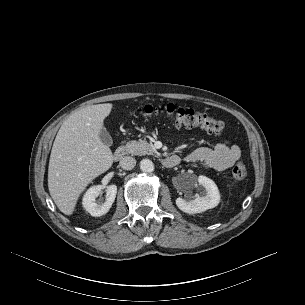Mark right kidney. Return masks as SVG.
Returning a JSON list of instances; mask_svg holds the SVG:
<instances>
[{
    "mask_svg": "<svg viewBox=\"0 0 305 305\" xmlns=\"http://www.w3.org/2000/svg\"><path fill=\"white\" fill-rule=\"evenodd\" d=\"M104 186H92L85 193L82 204L85 210L94 217H99L106 214L111 208L117 193L116 185H109L106 187V199L105 202L100 204L96 198L101 194Z\"/></svg>",
    "mask_w": 305,
    "mask_h": 305,
    "instance_id": "obj_1",
    "label": "right kidney"
}]
</instances>
